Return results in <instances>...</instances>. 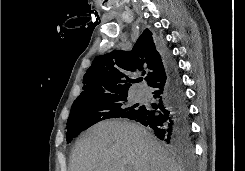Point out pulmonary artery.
I'll return each mask as SVG.
<instances>
[{
	"mask_svg": "<svg viewBox=\"0 0 245 171\" xmlns=\"http://www.w3.org/2000/svg\"><path fill=\"white\" fill-rule=\"evenodd\" d=\"M138 94H139L140 97H143V96L146 95V91L144 89H139L138 90Z\"/></svg>",
	"mask_w": 245,
	"mask_h": 171,
	"instance_id": "pulmonary-artery-1",
	"label": "pulmonary artery"
}]
</instances>
